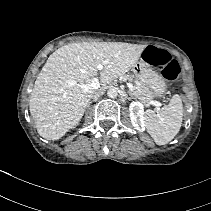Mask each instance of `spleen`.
<instances>
[{
	"mask_svg": "<svg viewBox=\"0 0 211 211\" xmlns=\"http://www.w3.org/2000/svg\"><path fill=\"white\" fill-rule=\"evenodd\" d=\"M182 119L183 105L177 94L159 112L147 110L145 113L147 131L158 145L169 143L178 134Z\"/></svg>",
	"mask_w": 211,
	"mask_h": 211,
	"instance_id": "obj_1",
	"label": "spleen"
}]
</instances>
